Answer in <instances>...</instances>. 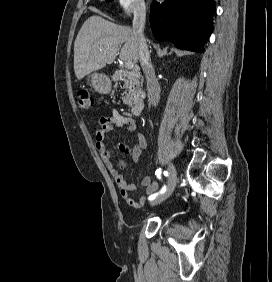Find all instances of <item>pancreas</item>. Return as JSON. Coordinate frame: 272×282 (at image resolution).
<instances>
[{
	"label": "pancreas",
	"mask_w": 272,
	"mask_h": 282,
	"mask_svg": "<svg viewBox=\"0 0 272 282\" xmlns=\"http://www.w3.org/2000/svg\"><path fill=\"white\" fill-rule=\"evenodd\" d=\"M137 81L135 79H129L125 82L124 87L128 90V94L123 97L124 104L132 105L138 96Z\"/></svg>",
	"instance_id": "1"
}]
</instances>
